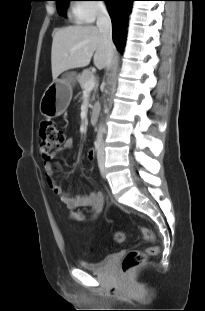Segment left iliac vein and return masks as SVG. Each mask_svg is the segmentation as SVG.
<instances>
[{
    "instance_id": "1",
    "label": "left iliac vein",
    "mask_w": 205,
    "mask_h": 311,
    "mask_svg": "<svg viewBox=\"0 0 205 311\" xmlns=\"http://www.w3.org/2000/svg\"><path fill=\"white\" fill-rule=\"evenodd\" d=\"M98 165L99 169L101 171V174H104L105 172V152H104V144H101L100 151L98 154Z\"/></svg>"
}]
</instances>
